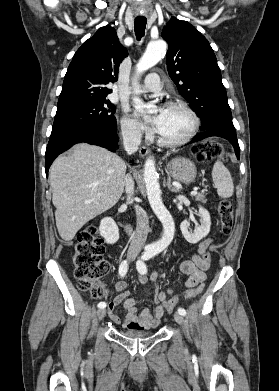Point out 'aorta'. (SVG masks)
Listing matches in <instances>:
<instances>
[{
	"label": "aorta",
	"mask_w": 279,
	"mask_h": 391,
	"mask_svg": "<svg viewBox=\"0 0 279 391\" xmlns=\"http://www.w3.org/2000/svg\"><path fill=\"white\" fill-rule=\"evenodd\" d=\"M166 42L163 40L151 41L145 53L136 65L137 73L140 74L156 65L166 53ZM135 107L151 109L152 105L145 104L141 99L133 100ZM144 182L149 204L155 215L163 225V235L160 240L152 244V248L157 251H163L169 246L174 237L175 225L173 218L162 202L161 190L158 182V176L153 157H149L144 165Z\"/></svg>",
	"instance_id": "762f6f07"
}]
</instances>
